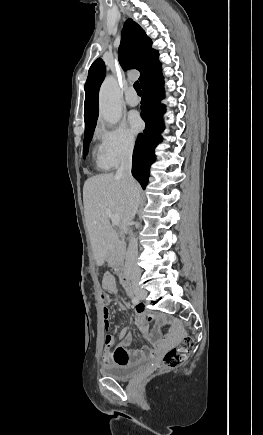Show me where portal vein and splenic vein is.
<instances>
[{
  "label": "portal vein and splenic vein",
  "instance_id": "obj_1",
  "mask_svg": "<svg viewBox=\"0 0 263 435\" xmlns=\"http://www.w3.org/2000/svg\"><path fill=\"white\" fill-rule=\"evenodd\" d=\"M106 216L111 219L112 224L118 225L120 222L119 216L112 214L110 210H106Z\"/></svg>",
  "mask_w": 263,
  "mask_h": 435
}]
</instances>
